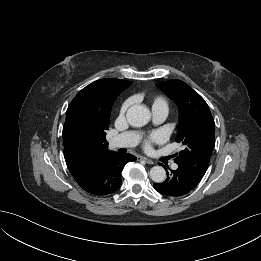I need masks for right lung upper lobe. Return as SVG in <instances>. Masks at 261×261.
Listing matches in <instances>:
<instances>
[{"label": "right lung upper lobe", "mask_w": 261, "mask_h": 261, "mask_svg": "<svg viewBox=\"0 0 261 261\" xmlns=\"http://www.w3.org/2000/svg\"><path fill=\"white\" fill-rule=\"evenodd\" d=\"M131 84V81L101 79L87 85L72 100L62 132L64 157L72 175L108 151V144L94 141L88 135L109 120L117 96Z\"/></svg>", "instance_id": "1"}]
</instances>
